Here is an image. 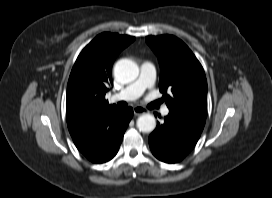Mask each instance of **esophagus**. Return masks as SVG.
Here are the masks:
<instances>
[{
	"label": "esophagus",
	"instance_id": "1",
	"mask_svg": "<svg viewBox=\"0 0 272 198\" xmlns=\"http://www.w3.org/2000/svg\"><path fill=\"white\" fill-rule=\"evenodd\" d=\"M133 112H134L135 116H139L141 114L146 113V110L141 106H134L133 107Z\"/></svg>",
	"mask_w": 272,
	"mask_h": 198
}]
</instances>
